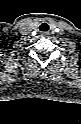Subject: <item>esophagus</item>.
<instances>
[{
  "label": "esophagus",
  "instance_id": "1",
  "mask_svg": "<svg viewBox=\"0 0 81 124\" xmlns=\"http://www.w3.org/2000/svg\"><path fill=\"white\" fill-rule=\"evenodd\" d=\"M42 36H48V32H42Z\"/></svg>",
  "mask_w": 81,
  "mask_h": 124
}]
</instances>
